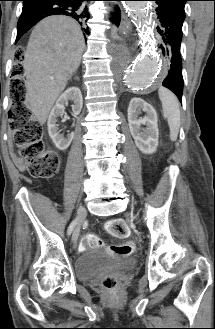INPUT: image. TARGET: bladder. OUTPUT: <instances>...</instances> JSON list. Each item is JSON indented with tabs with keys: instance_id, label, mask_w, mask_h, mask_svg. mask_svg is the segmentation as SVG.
Wrapping results in <instances>:
<instances>
[{
	"instance_id": "31cf9c89",
	"label": "bladder",
	"mask_w": 215,
	"mask_h": 329,
	"mask_svg": "<svg viewBox=\"0 0 215 329\" xmlns=\"http://www.w3.org/2000/svg\"><path fill=\"white\" fill-rule=\"evenodd\" d=\"M136 263V258L108 255L101 250H86L76 258L75 272L81 281H88L101 272L128 270Z\"/></svg>"
}]
</instances>
